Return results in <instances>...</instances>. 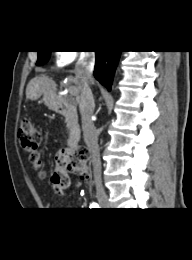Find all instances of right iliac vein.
<instances>
[{"instance_id":"63e3f726","label":"right iliac vein","mask_w":192,"mask_h":260,"mask_svg":"<svg viewBox=\"0 0 192 260\" xmlns=\"http://www.w3.org/2000/svg\"><path fill=\"white\" fill-rule=\"evenodd\" d=\"M96 197L102 207L107 208L110 206L108 196L104 191L97 192Z\"/></svg>"}]
</instances>
